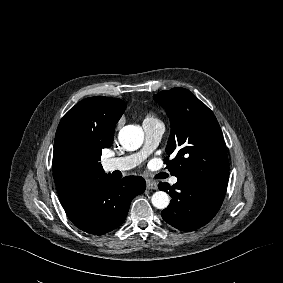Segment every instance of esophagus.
I'll return each instance as SVG.
<instances>
[{"label": "esophagus", "instance_id": "obj_1", "mask_svg": "<svg viewBox=\"0 0 283 283\" xmlns=\"http://www.w3.org/2000/svg\"><path fill=\"white\" fill-rule=\"evenodd\" d=\"M146 187H147V189H150V190H156L157 189V183L155 181L147 180Z\"/></svg>", "mask_w": 283, "mask_h": 283}]
</instances>
